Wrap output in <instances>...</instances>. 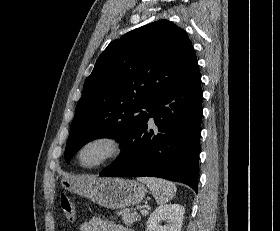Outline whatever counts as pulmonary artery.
Masks as SVG:
<instances>
[{"label":"pulmonary artery","instance_id":"obj_1","mask_svg":"<svg viewBox=\"0 0 280 231\" xmlns=\"http://www.w3.org/2000/svg\"><path fill=\"white\" fill-rule=\"evenodd\" d=\"M150 122H151V123L153 122V119H152V118H150Z\"/></svg>","mask_w":280,"mask_h":231}]
</instances>
